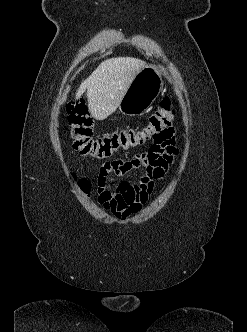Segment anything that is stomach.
<instances>
[{
  "label": "stomach",
  "mask_w": 247,
  "mask_h": 332,
  "mask_svg": "<svg viewBox=\"0 0 247 332\" xmlns=\"http://www.w3.org/2000/svg\"><path fill=\"white\" fill-rule=\"evenodd\" d=\"M163 86L162 73L158 66L146 65L139 71L119 104V110L127 116L144 114L158 97Z\"/></svg>",
  "instance_id": "stomach-1"
}]
</instances>
